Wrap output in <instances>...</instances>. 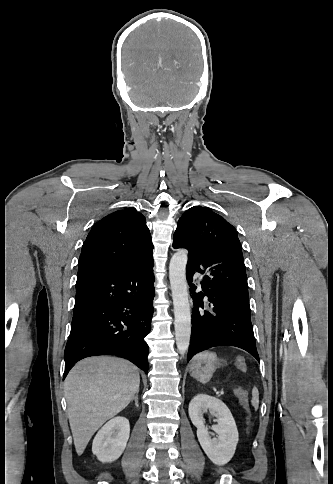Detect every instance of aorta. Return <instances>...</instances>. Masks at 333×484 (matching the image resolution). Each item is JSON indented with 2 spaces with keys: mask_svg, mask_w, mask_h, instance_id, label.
<instances>
[{
  "mask_svg": "<svg viewBox=\"0 0 333 484\" xmlns=\"http://www.w3.org/2000/svg\"><path fill=\"white\" fill-rule=\"evenodd\" d=\"M188 252L179 249L171 258L169 279L175 315V339L180 354H185L190 344L191 311L186 281V264Z\"/></svg>",
  "mask_w": 333,
  "mask_h": 484,
  "instance_id": "obj_1",
  "label": "aorta"
}]
</instances>
